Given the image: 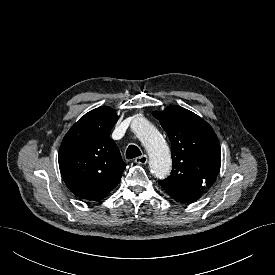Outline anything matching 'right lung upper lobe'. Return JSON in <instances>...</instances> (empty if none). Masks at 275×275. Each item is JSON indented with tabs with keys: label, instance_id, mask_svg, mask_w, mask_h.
<instances>
[{
	"label": "right lung upper lobe",
	"instance_id": "obj_1",
	"mask_svg": "<svg viewBox=\"0 0 275 275\" xmlns=\"http://www.w3.org/2000/svg\"><path fill=\"white\" fill-rule=\"evenodd\" d=\"M118 120L106 106L85 114L65 135L58 154L62 178L72 193L87 200H101L120 182L126 164L110 138Z\"/></svg>",
	"mask_w": 275,
	"mask_h": 275
}]
</instances>
